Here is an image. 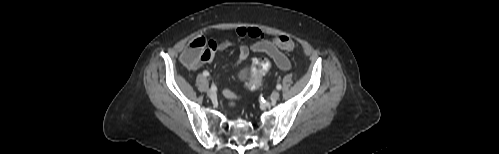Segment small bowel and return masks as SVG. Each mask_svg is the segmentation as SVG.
<instances>
[{"mask_svg":"<svg viewBox=\"0 0 499 154\" xmlns=\"http://www.w3.org/2000/svg\"><path fill=\"white\" fill-rule=\"evenodd\" d=\"M234 33L238 37L248 36L256 39V42L248 47L246 45H236L235 43L230 41L217 42L214 40H210L209 43L212 51H222L231 47H236L238 49V58L235 64L244 62L248 58L250 51L262 52L271 57L279 69L283 71H287L288 69H290V61L288 60V58L284 55V53H282V51L274 42L264 39L263 33L260 29L255 27H238L236 28ZM224 94L230 99L239 98L238 95L229 90H225Z\"/></svg>","mask_w":499,"mask_h":154,"instance_id":"small-bowel-1","label":"small bowel"}]
</instances>
